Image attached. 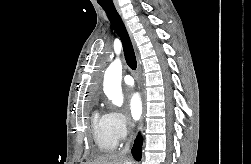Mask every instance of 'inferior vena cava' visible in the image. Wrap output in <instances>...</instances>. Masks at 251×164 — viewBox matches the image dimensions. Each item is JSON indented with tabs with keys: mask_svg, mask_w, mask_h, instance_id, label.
Wrapping results in <instances>:
<instances>
[{
	"mask_svg": "<svg viewBox=\"0 0 251 164\" xmlns=\"http://www.w3.org/2000/svg\"><path fill=\"white\" fill-rule=\"evenodd\" d=\"M128 151H129V143L125 145L124 149L121 151L120 154L124 156L127 154Z\"/></svg>",
	"mask_w": 251,
	"mask_h": 164,
	"instance_id": "1",
	"label": "inferior vena cava"
}]
</instances>
